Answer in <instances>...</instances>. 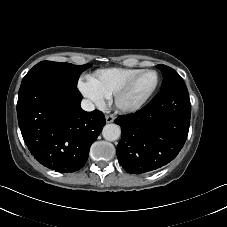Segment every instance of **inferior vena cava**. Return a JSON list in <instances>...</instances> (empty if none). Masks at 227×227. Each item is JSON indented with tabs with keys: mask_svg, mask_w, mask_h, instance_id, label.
<instances>
[{
	"mask_svg": "<svg viewBox=\"0 0 227 227\" xmlns=\"http://www.w3.org/2000/svg\"><path fill=\"white\" fill-rule=\"evenodd\" d=\"M81 107L83 110L90 112L95 109V105L88 99H83L81 102Z\"/></svg>",
	"mask_w": 227,
	"mask_h": 227,
	"instance_id": "obj_1",
	"label": "inferior vena cava"
}]
</instances>
